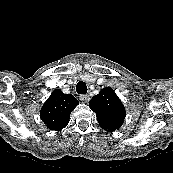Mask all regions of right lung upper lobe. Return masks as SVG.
<instances>
[{
  "label": "right lung upper lobe",
  "mask_w": 173,
  "mask_h": 173,
  "mask_svg": "<svg viewBox=\"0 0 173 173\" xmlns=\"http://www.w3.org/2000/svg\"><path fill=\"white\" fill-rule=\"evenodd\" d=\"M79 104L72 94L55 89L41 108L40 117L51 130H61L70 119L71 111Z\"/></svg>",
  "instance_id": "right-lung-upper-lobe-1"
}]
</instances>
